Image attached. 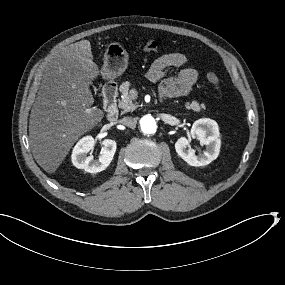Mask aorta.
I'll use <instances>...</instances> for the list:
<instances>
[{"label": "aorta", "instance_id": "obj_1", "mask_svg": "<svg viewBox=\"0 0 285 285\" xmlns=\"http://www.w3.org/2000/svg\"><path fill=\"white\" fill-rule=\"evenodd\" d=\"M136 128L142 134H155L157 129L159 128V117L153 111H142L136 117Z\"/></svg>", "mask_w": 285, "mask_h": 285}]
</instances>
